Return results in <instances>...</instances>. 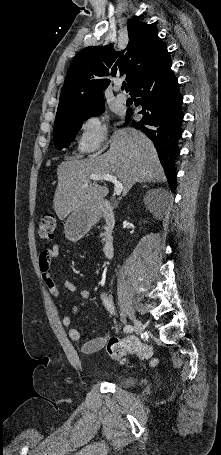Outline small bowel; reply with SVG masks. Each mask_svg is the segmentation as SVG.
I'll return each mask as SVG.
<instances>
[{
	"label": "small bowel",
	"mask_w": 221,
	"mask_h": 455,
	"mask_svg": "<svg viewBox=\"0 0 221 455\" xmlns=\"http://www.w3.org/2000/svg\"><path fill=\"white\" fill-rule=\"evenodd\" d=\"M60 248L58 244H54L51 247L44 249L38 258V268L41 272L43 282L52 297L58 298L62 291H69L73 293L82 302L88 300L91 296V292L88 289H78L72 282L64 281L61 286L57 284L53 276L54 261L58 257ZM80 305L74 306L73 313H76ZM62 324L65 327H70L71 316L64 315L62 317ZM68 335L71 340L79 341L81 339L80 332L75 328H69ZM107 341L106 336L95 337L81 346V351L85 354L95 353L101 350Z\"/></svg>",
	"instance_id": "obj_1"
}]
</instances>
